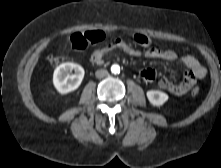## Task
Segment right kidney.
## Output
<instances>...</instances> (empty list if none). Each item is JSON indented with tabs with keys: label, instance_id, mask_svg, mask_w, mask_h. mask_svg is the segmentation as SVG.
I'll list each match as a JSON object with an SVG mask.
<instances>
[{
	"label": "right kidney",
	"instance_id": "1",
	"mask_svg": "<svg viewBox=\"0 0 221 168\" xmlns=\"http://www.w3.org/2000/svg\"><path fill=\"white\" fill-rule=\"evenodd\" d=\"M74 71V74L70 72ZM84 69L76 63L66 62L59 65L53 74V84L61 94L76 90L84 78Z\"/></svg>",
	"mask_w": 221,
	"mask_h": 168
}]
</instances>
